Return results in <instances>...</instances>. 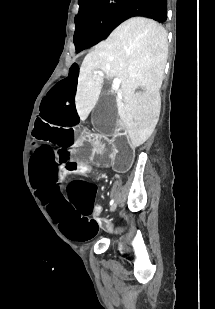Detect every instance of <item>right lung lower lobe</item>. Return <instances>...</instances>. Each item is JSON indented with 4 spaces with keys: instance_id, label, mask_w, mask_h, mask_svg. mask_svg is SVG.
<instances>
[{
    "instance_id": "right-lung-lower-lobe-1",
    "label": "right lung lower lobe",
    "mask_w": 215,
    "mask_h": 309,
    "mask_svg": "<svg viewBox=\"0 0 215 309\" xmlns=\"http://www.w3.org/2000/svg\"><path fill=\"white\" fill-rule=\"evenodd\" d=\"M135 16H143L164 23L167 19V0H131L118 18L116 27Z\"/></svg>"
}]
</instances>
